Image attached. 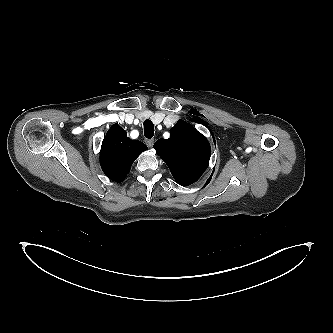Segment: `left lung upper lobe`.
<instances>
[{
  "instance_id": "1",
  "label": "left lung upper lobe",
  "mask_w": 333,
  "mask_h": 333,
  "mask_svg": "<svg viewBox=\"0 0 333 333\" xmlns=\"http://www.w3.org/2000/svg\"><path fill=\"white\" fill-rule=\"evenodd\" d=\"M153 148L182 186L196 182L209 164L211 148L208 140L183 120L171 128L169 139H159Z\"/></svg>"
}]
</instances>
